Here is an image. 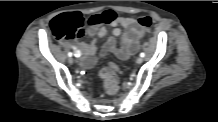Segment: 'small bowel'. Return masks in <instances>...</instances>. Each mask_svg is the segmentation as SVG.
<instances>
[{"mask_svg":"<svg viewBox=\"0 0 218 122\" xmlns=\"http://www.w3.org/2000/svg\"><path fill=\"white\" fill-rule=\"evenodd\" d=\"M88 29L86 34L93 40L89 43L74 41L69 44L70 48L81 57V62L86 67H92L99 56L113 53L121 60L128 59L137 52L143 29L138 20L132 17H121L117 15L116 8H109L101 14H91L88 17ZM112 27V37L99 49L98 38L106 35L105 27ZM116 38L120 39L117 45Z\"/></svg>","mask_w":218,"mask_h":122,"instance_id":"1","label":"small bowel"}]
</instances>
